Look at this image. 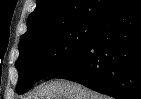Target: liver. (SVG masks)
I'll use <instances>...</instances> for the list:
<instances>
[{
	"instance_id": "6515ba94",
	"label": "liver",
	"mask_w": 141,
	"mask_h": 99,
	"mask_svg": "<svg viewBox=\"0 0 141 99\" xmlns=\"http://www.w3.org/2000/svg\"><path fill=\"white\" fill-rule=\"evenodd\" d=\"M26 99H110L85 86L68 81L52 80L38 86Z\"/></svg>"
}]
</instances>
